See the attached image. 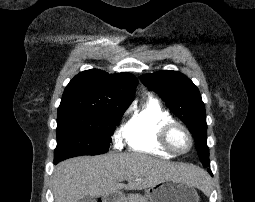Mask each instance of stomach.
Instances as JSON below:
<instances>
[{"label": "stomach", "mask_w": 255, "mask_h": 202, "mask_svg": "<svg viewBox=\"0 0 255 202\" xmlns=\"http://www.w3.org/2000/svg\"><path fill=\"white\" fill-rule=\"evenodd\" d=\"M148 202H199L195 188L178 179H168L147 189ZM114 202H127L124 196H118Z\"/></svg>", "instance_id": "stomach-1"}]
</instances>
